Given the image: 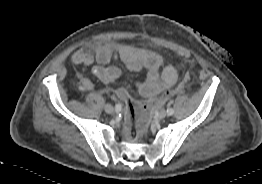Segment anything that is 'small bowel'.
Here are the masks:
<instances>
[{
  "instance_id": "c3829d8e",
  "label": "small bowel",
  "mask_w": 262,
  "mask_h": 184,
  "mask_svg": "<svg viewBox=\"0 0 262 184\" xmlns=\"http://www.w3.org/2000/svg\"><path fill=\"white\" fill-rule=\"evenodd\" d=\"M71 60L85 69L91 67L92 72L105 84L114 83L121 73L118 67L109 65L112 62L121 61L132 72L145 70V77L136 83V88L143 96L164 93L178 78V72L174 66L161 69L162 58L158 53L126 44L90 45L74 51ZM94 63L97 65L93 66ZM80 81L83 91L93 89L91 79L81 76Z\"/></svg>"
}]
</instances>
